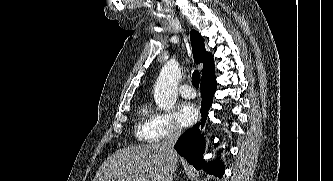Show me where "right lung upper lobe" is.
<instances>
[{"instance_id":"obj_1","label":"right lung upper lobe","mask_w":333,"mask_h":181,"mask_svg":"<svg viewBox=\"0 0 333 181\" xmlns=\"http://www.w3.org/2000/svg\"><path fill=\"white\" fill-rule=\"evenodd\" d=\"M190 37L195 63L199 64L203 62L204 64V67L202 69V82L215 79V66L213 56L211 53L206 52L203 38L195 30L191 31Z\"/></svg>"}]
</instances>
